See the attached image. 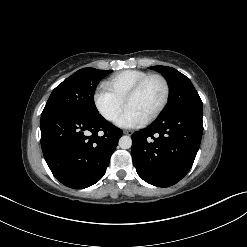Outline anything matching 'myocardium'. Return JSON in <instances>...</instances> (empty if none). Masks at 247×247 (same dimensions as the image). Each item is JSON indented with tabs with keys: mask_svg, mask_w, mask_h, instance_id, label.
<instances>
[{
	"mask_svg": "<svg viewBox=\"0 0 247 247\" xmlns=\"http://www.w3.org/2000/svg\"><path fill=\"white\" fill-rule=\"evenodd\" d=\"M152 78H157L159 80H161V82L163 83L164 86V98L161 102V104L159 105V107L149 116L146 118L145 122L149 123L154 121L166 108L169 99H170V95H171V88H170V84L169 81L167 80V78L159 73H151L146 75L145 77H143L142 79H140L127 93L124 102L125 105L128 104V102L134 97L136 96L140 90L143 88V86Z\"/></svg>",
	"mask_w": 247,
	"mask_h": 247,
	"instance_id": "obj_1",
	"label": "myocardium"
}]
</instances>
